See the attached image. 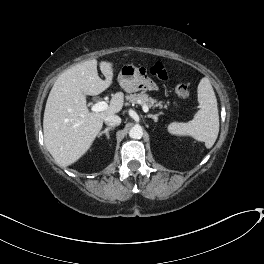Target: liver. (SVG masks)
I'll list each match as a JSON object with an SVG mask.
<instances>
[{
    "mask_svg": "<svg viewBox=\"0 0 264 264\" xmlns=\"http://www.w3.org/2000/svg\"><path fill=\"white\" fill-rule=\"evenodd\" d=\"M87 60L65 70L55 81L48 96L43 119L44 142L60 166L78 161L91 147L103 121L121 111L124 94L117 92L105 111L90 112L85 95L96 96L109 88L113 80V63Z\"/></svg>",
    "mask_w": 264,
    "mask_h": 264,
    "instance_id": "liver-1",
    "label": "liver"
}]
</instances>
